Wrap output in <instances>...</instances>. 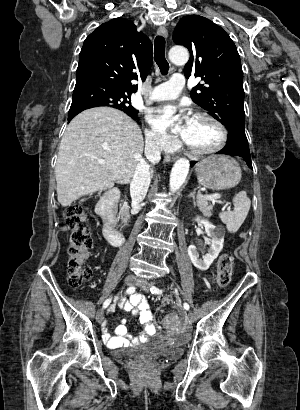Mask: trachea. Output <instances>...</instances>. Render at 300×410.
Here are the masks:
<instances>
[{
	"label": "trachea",
	"instance_id": "1",
	"mask_svg": "<svg viewBox=\"0 0 300 410\" xmlns=\"http://www.w3.org/2000/svg\"><path fill=\"white\" fill-rule=\"evenodd\" d=\"M154 59L162 75H166L169 70V63L165 58V39L157 36L154 41Z\"/></svg>",
	"mask_w": 300,
	"mask_h": 410
}]
</instances>
